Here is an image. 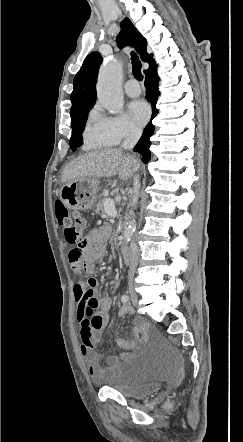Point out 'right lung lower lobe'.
Here are the masks:
<instances>
[{
	"mask_svg": "<svg viewBox=\"0 0 243 442\" xmlns=\"http://www.w3.org/2000/svg\"><path fill=\"white\" fill-rule=\"evenodd\" d=\"M157 65L154 64L152 67H150L148 70H146L145 73V87L147 88V99L151 101L152 104V117L150 123L147 124V126L144 129V132L138 141L137 145L134 148V151H140L144 155L143 162L147 163L150 160V151L149 147L151 145L150 137L153 135L154 132V125L152 124V119L155 118V116L158 113V109L156 108V102L157 98L160 94L158 90V82L159 77L156 73Z\"/></svg>",
	"mask_w": 243,
	"mask_h": 442,
	"instance_id": "obj_1",
	"label": "right lung lower lobe"
}]
</instances>
